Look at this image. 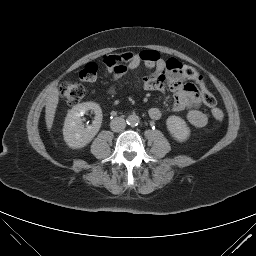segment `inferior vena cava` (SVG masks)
Listing matches in <instances>:
<instances>
[{
  "label": "inferior vena cava",
  "mask_w": 256,
  "mask_h": 256,
  "mask_svg": "<svg viewBox=\"0 0 256 256\" xmlns=\"http://www.w3.org/2000/svg\"><path fill=\"white\" fill-rule=\"evenodd\" d=\"M126 127L125 120L122 117H115L110 122V128L114 132L122 131Z\"/></svg>",
  "instance_id": "602c4592"
}]
</instances>
